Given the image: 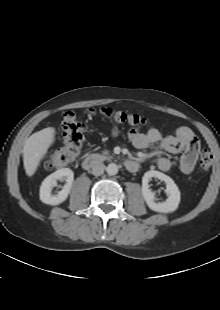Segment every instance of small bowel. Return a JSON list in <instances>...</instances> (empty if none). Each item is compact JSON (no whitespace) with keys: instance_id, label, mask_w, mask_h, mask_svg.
I'll return each instance as SVG.
<instances>
[{"instance_id":"small-bowel-1","label":"small bowel","mask_w":220,"mask_h":310,"mask_svg":"<svg viewBox=\"0 0 220 310\" xmlns=\"http://www.w3.org/2000/svg\"><path fill=\"white\" fill-rule=\"evenodd\" d=\"M106 110L108 108H102L100 113L107 116ZM88 113L95 115L96 111L89 109ZM111 133L115 137L120 135L116 125H113ZM126 139L137 149L158 146L167 153H181L180 170L185 174H190L194 170L198 160L200 142L188 127H179L171 134H163L155 127H150L146 132L133 128L126 135ZM156 165L160 170L168 171L172 164L168 158L161 156L156 159Z\"/></svg>"}]
</instances>
